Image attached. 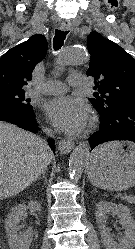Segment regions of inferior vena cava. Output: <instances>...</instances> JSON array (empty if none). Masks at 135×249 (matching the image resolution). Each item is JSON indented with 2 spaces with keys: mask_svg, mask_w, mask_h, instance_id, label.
Listing matches in <instances>:
<instances>
[{
  "mask_svg": "<svg viewBox=\"0 0 135 249\" xmlns=\"http://www.w3.org/2000/svg\"><path fill=\"white\" fill-rule=\"evenodd\" d=\"M45 133L49 136H53V132L51 130L45 129Z\"/></svg>",
  "mask_w": 135,
  "mask_h": 249,
  "instance_id": "602c4592",
  "label": "inferior vena cava"
}]
</instances>
